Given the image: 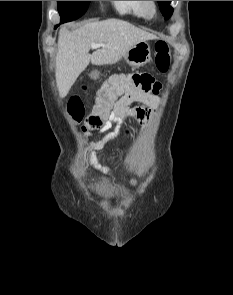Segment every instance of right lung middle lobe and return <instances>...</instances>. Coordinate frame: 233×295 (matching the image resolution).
I'll return each mask as SVG.
<instances>
[{"label":"right lung middle lobe","mask_w":233,"mask_h":295,"mask_svg":"<svg viewBox=\"0 0 233 295\" xmlns=\"http://www.w3.org/2000/svg\"><path fill=\"white\" fill-rule=\"evenodd\" d=\"M61 23L72 21L82 16L90 1H57Z\"/></svg>","instance_id":"obj_1"}]
</instances>
